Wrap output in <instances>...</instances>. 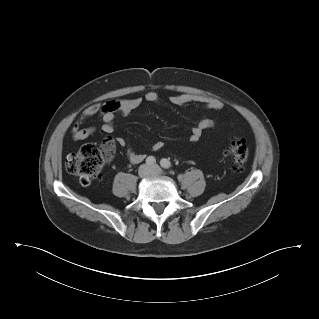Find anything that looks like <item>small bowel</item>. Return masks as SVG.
Segmentation results:
<instances>
[{"mask_svg": "<svg viewBox=\"0 0 319 319\" xmlns=\"http://www.w3.org/2000/svg\"><path fill=\"white\" fill-rule=\"evenodd\" d=\"M159 99V94L156 91L150 90L147 91L143 97H133L120 101H109L104 104H91L83 111L80 120L73 125L71 131L72 138L75 141H80L92 136L95 133V128L81 127V124L96 115H99L102 119V132L110 134L114 131V121L117 115H127L131 113L138 108L143 101L156 103ZM170 101L178 106H201L215 112L221 111L224 107V103L221 100L203 95L175 94L170 97ZM215 123L216 122L213 118H202L192 127L189 136L190 141H198L203 131L213 128ZM116 143L125 149V155L131 163L138 164L145 159V155L135 152L124 138L118 137L116 139ZM162 147L163 143L161 141H156L153 145L155 150H159Z\"/></svg>", "mask_w": 319, "mask_h": 319, "instance_id": "small-bowel-1", "label": "small bowel"}]
</instances>
